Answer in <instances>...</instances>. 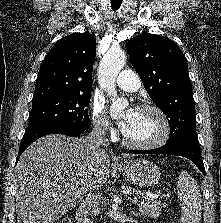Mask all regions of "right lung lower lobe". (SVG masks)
<instances>
[{
	"mask_svg": "<svg viewBox=\"0 0 221 223\" xmlns=\"http://www.w3.org/2000/svg\"><path fill=\"white\" fill-rule=\"evenodd\" d=\"M86 129L84 128H74L66 125H60V124H54L49 126H43L34 130H26L25 134L22 138L20 148H19V154L16 159V163L19 160L20 155L22 152L35 140L39 139L40 137H43L45 135L49 134H64L68 136H78L82 132H84Z\"/></svg>",
	"mask_w": 221,
	"mask_h": 223,
	"instance_id": "98d812e1",
	"label": "right lung lower lobe"
}]
</instances>
